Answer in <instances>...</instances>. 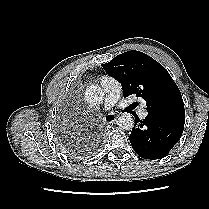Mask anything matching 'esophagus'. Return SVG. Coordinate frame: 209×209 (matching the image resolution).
<instances>
[{
  "label": "esophagus",
  "mask_w": 209,
  "mask_h": 209,
  "mask_svg": "<svg viewBox=\"0 0 209 209\" xmlns=\"http://www.w3.org/2000/svg\"><path fill=\"white\" fill-rule=\"evenodd\" d=\"M107 117L111 119V120H107L106 121L107 123H110V124L114 123L116 121V119H117V116L114 115V114H109V115H107Z\"/></svg>",
  "instance_id": "obj_1"
}]
</instances>
